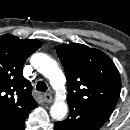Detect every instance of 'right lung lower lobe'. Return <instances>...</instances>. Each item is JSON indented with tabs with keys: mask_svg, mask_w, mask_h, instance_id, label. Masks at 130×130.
<instances>
[{
	"mask_svg": "<svg viewBox=\"0 0 130 130\" xmlns=\"http://www.w3.org/2000/svg\"><path fill=\"white\" fill-rule=\"evenodd\" d=\"M26 118L23 119L22 121H20L19 123H16L13 126L5 128L3 130H24V125H25Z\"/></svg>",
	"mask_w": 130,
	"mask_h": 130,
	"instance_id": "right-lung-lower-lobe-1",
	"label": "right lung lower lobe"
}]
</instances>
